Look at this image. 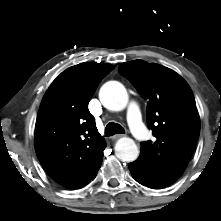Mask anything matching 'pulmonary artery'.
I'll return each instance as SVG.
<instances>
[{"label": "pulmonary artery", "mask_w": 221, "mask_h": 221, "mask_svg": "<svg viewBox=\"0 0 221 221\" xmlns=\"http://www.w3.org/2000/svg\"><path fill=\"white\" fill-rule=\"evenodd\" d=\"M129 125L132 133L139 140L147 138V131L141 122L140 109L135 102H131L128 108Z\"/></svg>", "instance_id": "pulmonary-artery-1"}]
</instances>
